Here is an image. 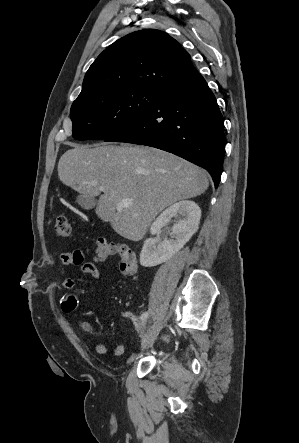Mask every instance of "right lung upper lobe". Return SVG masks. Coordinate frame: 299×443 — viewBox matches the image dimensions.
<instances>
[{
	"instance_id": "cb5924a9",
	"label": "right lung upper lobe",
	"mask_w": 299,
	"mask_h": 443,
	"mask_svg": "<svg viewBox=\"0 0 299 443\" xmlns=\"http://www.w3.org/2000/svg\"><path fill=\"white\" fill-rule=\"evenodd\" d=\"M195 73L189 53L175 39L144 29L122 37L98 56L75 101L116 89L162 91Z\"/></svg>"
}]
</instances>
